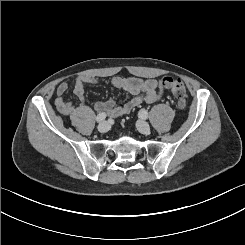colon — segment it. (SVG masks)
Segmentation results:
<instances>
[{
  "instance_id": "5ec220e1",
  "label": "colon",
  "mask_w": 245,
  "mask_h": 245,
  "mask_svg": "<svg viewBox=\"0 0 245 245\" xmlns=\"http://www.w3.org/2000/svg\"><path fill=\"white\" fill-rule=\"evenodd\" d=\"M161 81L163 87L168 89L176 97L179 108H184L187 102L186 86L184 82L174 76H165Z\"/></svg>"
}]
</instances>
